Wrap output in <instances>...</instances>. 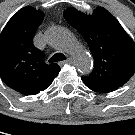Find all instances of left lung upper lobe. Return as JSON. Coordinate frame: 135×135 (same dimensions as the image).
Here are the masks:
<instances>
[{"instance_id": "obj_1", "label": "left lung upper lobe", "mask_w": 135, "mask_h": 135, "mask_svg": "<svg viewBox=\"0 0 135 135\" xmlns=\"http://www.w3.org/2000/svg\"><path fill=\"white\" fill-rule=\"evenodd\" d=\"M88 43L95 67L82 77L84 84L97 92H112L122 87L135 73V42L117 19L99 7L92 15L75 8L63 13Z\"/></svg>"}]
</instances>
